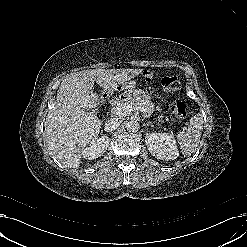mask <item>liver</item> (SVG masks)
Wrapping results in <instances>:
<instances>
[{
    "mask_svg": "<svg viewBox=\"0 0 247 247\" xmlns=\"http://www.w3.org/2000/svg\"><path fill=\"white\" fill-rule=\"evenodd\" d=\"M141 72L142 69H90L67 75L45 121L44 139L51 155L64 166L77 168L82 150L97 138L102 124L90 112L99 100L91 91L95 82L104 92L111 93Z\"/></svg>",
    "mask_w": 247,
    "mask_h": 247,
    "instance_id": "liver-1",
    "label": "liver"
}]
</instances>
